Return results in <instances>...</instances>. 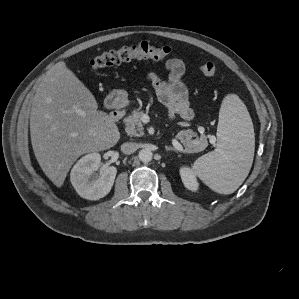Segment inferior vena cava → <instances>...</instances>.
<instances>
[{
	"mask_svg": "<svg viewBox=\"0 0 299 299\" xmlns=\"http://www.w3.org/2000/svg\"><path fill=\"white\" fill-rule=\"evenodd\" d=\"M138 149V145L134 142H125L121 145V151L124 154H132Z\"/></svg>",
	"mask_w": 299,
	"mask_h": 299,
	"instance_id": "obj_1",
	"label": "inferior vena cava"
}]
</instances>
